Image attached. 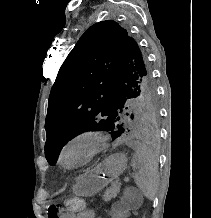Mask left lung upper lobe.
Returning a JSON list of instances; mask_svg holds the SVG:
<instances>
[{
  "label": "left lung upper lobe",
  "mask_w": 211,
  "mask_h": 218,
  "mask_svg": "<svg viewBox=\"0 0 211 218\" xmlns=\"http://www.w3.org/2000/svg\"><path fill=\"white\" fill-rule=\"evenodd\" d=\"M128 119L147 127L158 119L156 89L147 58L112 20L80 37L51 89L45 121V156L54 165L66 142L86 131L123 132Z\"/></svg>",
  "instance_id": "5c2ea615"
}]
</instances>
